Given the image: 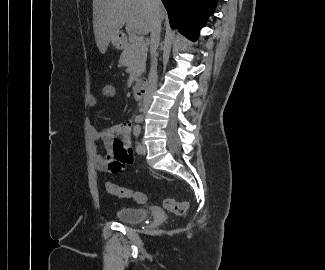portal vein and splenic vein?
<instances>
[{"label": "portal vein and splenic vein", "mask_w": 325, "mask_h": 270, "mask_svg": "<svg viewBox=\"0 0 325 270\" xmlns=\"http://www.w3.org/2000/svg\"><path fill=\"white\" fill-rule=\"evenodd\" d=\"M136 44L139 46V47H144L145 46V42L143 39H137L136 40Z\"/></svg>", "instance_id": "1"}]
</instances>
